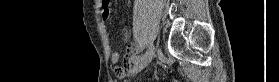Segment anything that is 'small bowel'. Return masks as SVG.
Returning a JSON list of instances; mask_svg holds the SVG:
<instances>
[{"label": "small bowel", "instance_id": "small-bowel-1", "mask_svg": "<svg viewBox=\"0 0 279 82\" xmlns=\"http://www.w3.org/2000/svg\"><path fill=\"white\" fill-rule=\"evenodd\" d=\"M98 7L101 10L102 17L104 19H108L111 13L109 1L106 0H98ZM125 34V32H123ZM110 49V46L108 45ZM139 47L136 44H131L127 47L124 58H123V66H118L117 64L120 61V54L116 51H110V60L113 64H115L114 73L117 77L123 78L126 75V72L131 69L132 64L135 61L137 56Z\"/></svg>", "mask_w": 279, "mask_h": 82}]
</instances>
